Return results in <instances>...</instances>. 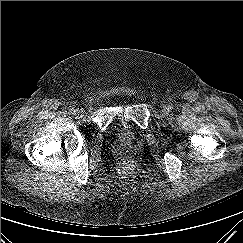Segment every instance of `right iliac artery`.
I'll list each match as a JSON object with an SVG mask.
<instances>
[{
	"label": "right iliac artery",
	"mask_w": 243,
	"mask_h": 243,
	"mask_svg": "<svg viewBox=\"0 0 243 243\" xmlns=\"http://www.w3.org/2000/svg\"><path fill=\"white\" fill-rule=\"evenodd\" d=\"M76 111H77V110H75L74 108H71V109H70V113H71V114H75Z\"/></svg>",
	"instance_id": "82829eb1"
}]
</instances>
